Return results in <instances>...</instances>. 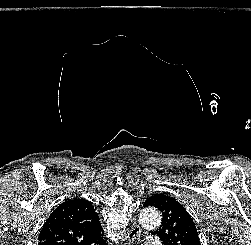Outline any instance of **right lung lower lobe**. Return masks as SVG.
<instances>
[{"label": "right lung lower lobe", "instance_id": "98d812e1", "mask_svg": "<svg viewBox=\"0 0 251 245\" xmlns=\"http://www.w3.org/2000/svg\"><path fill=\"white\" fill-rule=\"evenodd\" d=\"M104 234H102L95 242L89 243L88 245H106V242L103 238Z\"/></svg>", "mask_w": 251, "mask_h": 245}]
</instances>
